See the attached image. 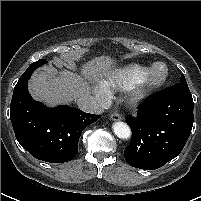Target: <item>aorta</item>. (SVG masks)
I'll return each instance as SVG.
<instances>
[{"label": "aorta", "mask_w": 201, "mask_h": 201, "mask_svg": "<svg viewBox=\"0 0 201 201\" xmlns=\"http://www.w3.org/2000/svg\"><path fill=\"white\" fill-rule=\"evenodd\" d=\"M113 131L115 135L121 139H128L131 136V129L124 122H115L113 124Z\"/></svg>", "instance_id": "1"}]
</instances>
